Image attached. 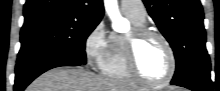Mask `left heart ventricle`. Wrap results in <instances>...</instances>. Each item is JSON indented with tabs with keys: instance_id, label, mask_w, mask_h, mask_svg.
Listing matches in <instances>:
<instances>
[{
	"instance_id": "left-heart-ventricle-1",
	"label": "left heart ventricle",
	"mask_w": 220,
	"mask_h": 91,
	"mask_svg": "<svg viewBox=\"0 0 220 91\" xmlns=\"http://www.w3.org/2000/svg\"><path fill=\"white\" fill-rule=\"evenodd\" d=\"M137 60L143 76L152 81L163 79L170 69L168 52L157 38H149L139 45Z\"/></svg>"
}]
</instances>
